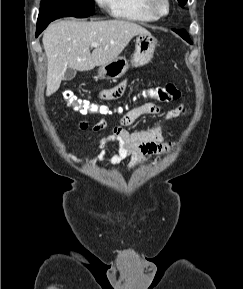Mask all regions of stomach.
Listing matches in <instances>:
<instances>
[{
  "mask_svg": "<svg viewBox=\"0 0 243 289\" xmlns=\"http://www.w3.org/2000/svg\"><path fill=\"white\" fill-rule=\"evenodd\" d=\"M157 39L151 33H141L136 37L135 52L131 57V65L140 67L146 65L153 58ZM129 62L125 57H117L98 69L99 77L117 79L129 69Z\"/></svg>",
  "mask_w": 243,
  "mask_h": 289,
  "instance_id": "obj_1",
  "label": "stomach"
}]
</instances>
